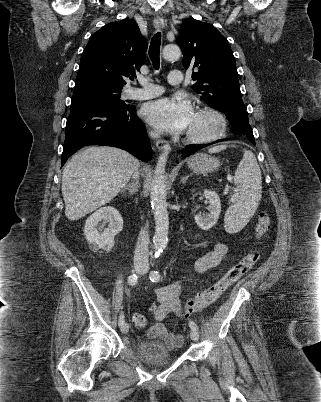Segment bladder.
<instances>
[{
  "label": "bladder",
  "instance_id": "bladder-1",
  "mask_svg": "<svg viewBox=\"0 0 321 402\" xmlns=\"http://www.w3.org/2000/svg\"><path fill=\"white\" fill-rule=\"evenodd\" d=\"M147 338L142 340L136 348V354L147 363L169 362L174 359L172 353L163 343L150 338V333H146Z\"/></svg>",
  "mask_w": 321,
  "mask_h": 402
}]
</instances>
